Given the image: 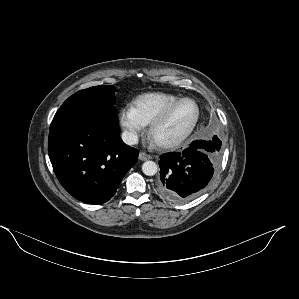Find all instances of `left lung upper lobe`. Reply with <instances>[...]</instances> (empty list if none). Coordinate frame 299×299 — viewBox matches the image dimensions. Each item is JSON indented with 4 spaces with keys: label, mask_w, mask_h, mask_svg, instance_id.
Listing matches in <instances>:
<instances>
[{
    "label": "left lung upper lobe",
    "mask_w": 299,
    "mask_h": 299,
    "mask_svg": "<svg viewBox=\"0 0 299 299\" xmlns=\"http://www.w3.org/2000/svg\"><path fill=\"white\" fill-rule=\"evenodd\" d=\"M213 143L215 144V146H219L221 148V144L222 142L219 140V138L217 136H214L212 139Z\"/></svg>",
    "instance_id": "5c2ea615"
}]
</instances>
